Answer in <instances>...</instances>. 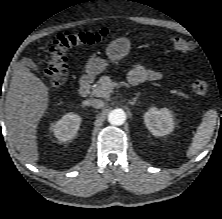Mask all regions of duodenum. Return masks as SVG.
<instances>
[{
    "label": "duodenum",
    "instance_id": "duodenum-1",
    "mask_svg": "<svg viewBox=\"0 0 222 219\" xmlns=\"http://www.w3.org/2000/svg\"><path fill=\"white\" fill-rule=\"evenodd\" d=\"M92 84V77L89 75L82 76L79 80L78 94L82 97L87 96L90 93Z\"/></svg>",
    "mask_w": 222,
    "mask_h": 219
}]
</instances>
